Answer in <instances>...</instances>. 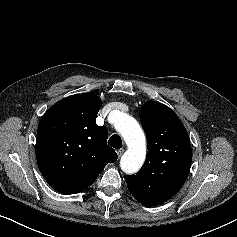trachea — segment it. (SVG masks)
Here are the masks:
<instances>
[{
    "instance_id": "obj_1",
    "label": "trachea",
    "mask_w": 237,
    "mask_h": 237,
    "mask_svg": "<svg viewBox=\"0 0 237 237\" xmlns=\"http://www.w3.org/2000/svg\"><path fill=\"white\" fill-rule=\"evenodd\" d=\"M108 144L115 149L122 148L121 137L117 134L112 135L108 140Z\"/></svg>"
}]
</instances>
